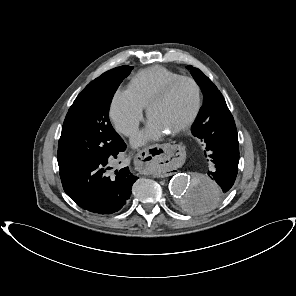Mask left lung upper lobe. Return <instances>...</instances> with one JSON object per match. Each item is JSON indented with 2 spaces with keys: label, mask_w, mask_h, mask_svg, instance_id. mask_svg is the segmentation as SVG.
I'll list each match as a JSON object with an SVG mask.
<instances>
[{
  "label": "left lung upper lobe",
  "mask_w": 296,
  "mask_h": 296,
  "mask_svg": "<svg viewBox=\"0 0 296 296\" xmlns=\"http://www.w3.org/2000/svg\"><path fill=\"white\" fill-rule=\"evenodd\" d=\"M188 69L190 70L192 76L194 77L197 84L200 86L203 93V106L200 109L198 117L192 126V134L200 139L198 130H200L201 125L209 119L210 115L217 108H219L222 104H225L226 102L217 87L207 76L203 74L202 71L194 68L191 65L188 66ZM187 206L189 207V205Z\"/></svg>",
  "instance_id": "obj_1"
}]
</instances>
